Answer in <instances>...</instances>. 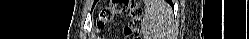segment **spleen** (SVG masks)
Returning <instances> with one entry per match:
<instances>
[{
    "label": "spleen",
    "instance_id": "3e777b00",
    "mask_svg": "<svg viewBox=\"0 0 249 39\" xmlns=\"http://www.w3.org/2000/svg\"><path fill=\"white\" fill-rule=\"evenodd\" d=\"M171 21L170 7L164 0L145 1L142 22L144 39H169Z\"/></svg>",
    "mask_w": 249,
    "mask_h": 39
}]
</instances>
